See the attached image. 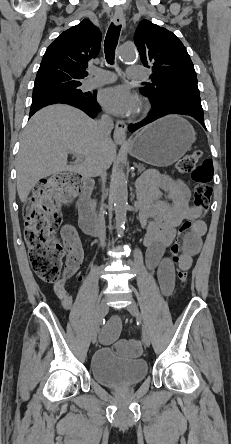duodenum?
Here are the masks:
<instances>
[{"instance_id":"410a0bca","label":"duodenum","mask_w":231,"mask_h":444,"mask_svg":"<svg viewBox=\"0 0 231 444\" xmlns=\"http://www.w3.org/2000/svg\"><path fill=\"white\" fill-rule=\"evenodd\" d=\"M82 191L78 199L77 205L80 217V227L84 233L88 236L97 237L100 236V230H98V217L94 214L90 195L93 190V181L90 177L83 176L82 179Z\"/></svg>"}]
</instances>
